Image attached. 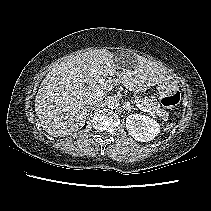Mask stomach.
I'll use <instances>...</instances> for the list:
<instances>
[{
	"instance_id": "stomach-1",
	"label": "stomach",
	"mask_w": 211,
	"mask_h": 211,
	"mask_svg": "<svg viewBox=\"0 0 211 211\" xmlns=\"http://www.w3.org/2000/svg\"><path fill=\"white\" fill-rule=\"evenodd\" d=\"M122 57L123 56L115 55V60L117 62H120L123 67H126L128 64H127V62L122 60ZM133 63L136 64V60H134ZM175 90H176V87L173 82L167 81V82L159 83L158 91L161 96L166 95V94H171ZM140 92H142V91L141 90L134 91L135 94L140 93Z\"/></svg>"
}]
</instances>
